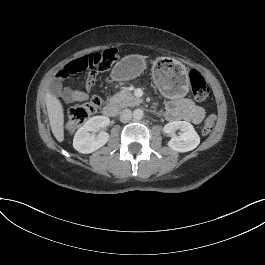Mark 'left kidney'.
<instances>
[{
  "label": "left kidney",
  "instance_id": "obj_1",
  "mask_svg": "<svg viewBox=\"0 0 265 265\" xmlns=\"http://www.w3.org/2000/svg\"><path fill=\"white\" fill-rule=\"evenodd\" d=\"M166 133L174 134L176 131L179 136H174L167 141L169 149L184 153L194 150L200 144V137L194 127L186 121H174L164 127Z\"/></svg>",
  "mask_w": 265,
  "mask_h": 265
}]
</instances>
